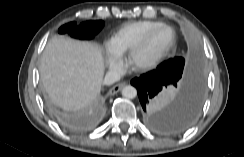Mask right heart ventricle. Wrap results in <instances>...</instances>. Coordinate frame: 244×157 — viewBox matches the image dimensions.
<instances>
[{"label":"right heart ventricle","mask_w":244,"mask_h":157,"mask_svg":"<svg viewBox=\"0 0 244 157\" xmlns=\"http://www.w3.org/2000/svg\"><path fill=\"white\" fill-rule=\"evenodd\" d=\"M162 24L160 21H136L120 27L110 40L112 51L123 56L127 54L154 27Z\"/></svg>","instance_id":"obj_1"}]
</instances>
